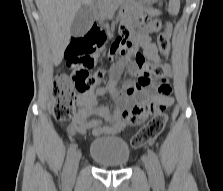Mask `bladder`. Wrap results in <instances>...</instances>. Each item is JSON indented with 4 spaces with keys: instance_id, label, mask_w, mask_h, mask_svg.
Listing matches in <instances>:
<instances>
[{
    "instance_id": "1",
    "label": "bladder",
    "mask_w": 223,
    "mask_h": 191,
    "mask_svg": "<svg viewBox=\"0 0 223 191\" xmlns=\"http://www.w3.org/2000/svg\"><path fill=\"white\" fill-rule=\"evenodd\" d=\"M90 157L100 166L122 168L130 160V148L121 137H101L92 142Z\"/></svg>"
}]
</instances>
